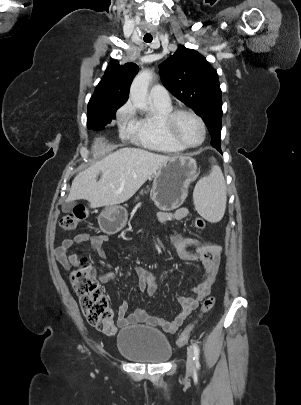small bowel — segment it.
<instances>
[{
	"label": "small bowel",
	"mask_w": 301,
	"mask_h": 405,
	"mask_svg": "<svg viewBox=\"0 0 301 405\" xmlns=\"http://www.w3.org/2000/svg\"><path fill=\"white\" fill-rule=\"evenodd\" d=\"M188 213L189 211L186 207H181L173 213L160 212L158 214V221L165 227H169L172 221L182 220L188 216ZM170 240L182 260L190 262L200 261L202 263V280L197 286L191 289L190 295L178 298L181 310L173 320L167 321L160 317L152 316L144 309H136L134 312L127 315L128 303L123 301L117 309V323L119 326L147 323L149 325L158 326L165 332L174 333L191 312L196 309L198 303L211 293L219 270L222 247L220 245L202 242L198 238L182 237L173 230L171 231ZM108 241L109 235L107 234H77L74 237L63 240L62 244L55 249V257L65 269L69 270L78 265V258L74 253L68 254V251L77 244L89 242L96 256L104 260L106 259L104 248ZM135 272L138 277L139 289L152 296L156 291L153 274L141 266H137ZM114 279L115 275L111 272L105 273L99 277L101 283H108Z\"/></svg>",
	"instance_id": "obj_1"
}]
</instances>
